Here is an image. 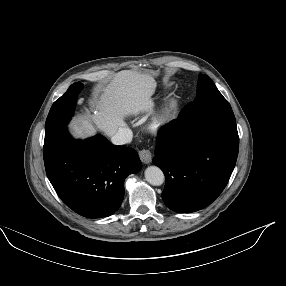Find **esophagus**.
I'll return each instance as SVG.
<instances>
[{"mask_svg": "<svg viewBox=\"0 0 286 286\" xmlns=\"http://www.w3.org/2000/svg\"><path fill=\"white\" fill-rule=\"evenodd\" d=\"M139 157L145 164H149L152 161V153L148 149H142L139 151Z\"/></svg>", "mask_w": 286, "mask_h": 286, "instance_id": "34e87169", "label": "esophagus"}]
</instances>
